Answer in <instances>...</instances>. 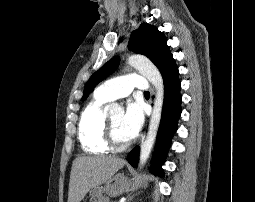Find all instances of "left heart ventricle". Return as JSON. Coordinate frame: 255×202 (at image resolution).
<instances>
[{
  "mask_svg": "<svg viewBox=\"0 0 255 202\" xmlns=\"http://www.w3.org/2000/svg\"><path fill=\"white\" fill-rule=\"evenodd\" d=\"M123 117L124 114L123 112H118L110 116L113 127H114V132L115 136L118 141L120 142H125L133 138L128 131L126 130L124 123H123Z\"/></svg>",
  "mask_w": 255,
  "mask_h": 202,
  "instance_id": "b2bd125f",
  "label": "left heart ventricle"
}]
</instances>
